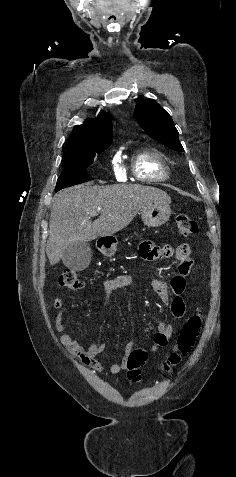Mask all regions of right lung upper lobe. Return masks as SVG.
<instances>
[{"mask_svg": "<svg viewBox=\"0 0 236 477\" xmlns=\"http://www.w3.org/2000/svg\"><path fill=\"white\" fill-rule=\"evenodd\" d=\"M112 139V121L108 113L103 112L96 119H87L82 125L74 127L64 143L62 162L109 147Z\"/></svg>", "mask_w": 236, "mask_h": 477, "instance_id": "1", "label": "right lung upper lobe"}]
</instances>
